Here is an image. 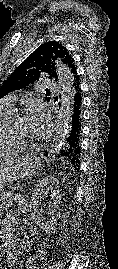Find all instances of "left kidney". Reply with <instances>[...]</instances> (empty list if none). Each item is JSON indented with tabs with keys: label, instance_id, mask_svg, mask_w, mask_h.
<instances>
[{
	"label": "left kidney",
	"instance_id": "1",
	"mask_svg": "<svg viewBox=\"0 0 118 269\" xmlns=\"http://www.w3.org/2000/svg\"><path fill=\"white\" fill-rule=\"evenodd\" d=\"M43 192H49L51 194L52 206L50 209V219L42 217L41 211L39 210V197ZM61 195L59 182L53 177H45L38 181L35 188L32 191L30 200V214L35 224L45 233H51L55 230L57 221L61 216Z\"/></svg>",
	"mask_w": 118,
	"mask_h": 269
}]
</instances>
